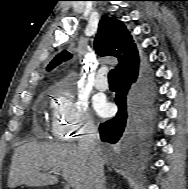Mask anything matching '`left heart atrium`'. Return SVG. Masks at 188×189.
I'll return each mask as SVG.
<instances>
[{
	"mask_svg": "<svg viewBox=\"0 0 188 189\" xmlns=\"http://www.w3.org/2000/svg\"><path fill=\"white\" fill-rule=\"evenodd\" d=\"M94 107L97 113L102 117L109 116L111 113V106L102 98H97L94 101Z\"/></svg>",
	"mask_w": 188,
	"mask_h": 189,
	"instance_id": "left-heart-atrium-1",
	"label": "left heart atrium"
}]
</instances>
